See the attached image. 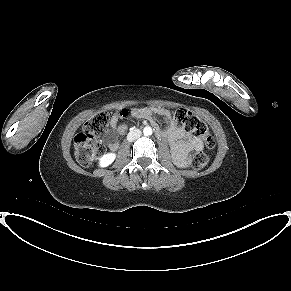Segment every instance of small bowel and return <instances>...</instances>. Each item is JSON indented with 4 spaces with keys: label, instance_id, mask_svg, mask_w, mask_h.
I'll return each instance as SVG.
<instances>
[{
    "label": "small bowel",
    "instance_id": "c3829d8e",
    "mask_svg": "<svg viewBox=\"0 0 291 291\" xmlns=\"http://www.w3.org/2000/svg\"><path fill=\"white\" fill-rule=\"evenodd\" d=\"M152 115L161 116L165 120V127L158 128L157 134L166 139L173 151L175 158L180 161L188 152L198 151L202 148L203 143L199 137H192L186 131L178 127L171 113L160 107L150 106L146 108L134 109L131 116L134 118H147ZM119 111L115 112L111 118V130L106 134L105 141L111 150H116L119 138L126 133L127 127L119 122Z\"/></svg>",
    "mask_w": 291,
    "mask_h": 291
}]
</instances>
